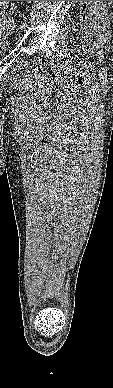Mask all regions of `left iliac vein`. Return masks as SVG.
<instances>
[{"label": "left iliac vein", "instance_id": "obj_1", "mask_svg": "<svg viewBox=\"0 0 113 388\" xmlns=\"http://www.w3.org/2000/svg\"><path fill=\"white\" fill-rule=\"evenodd\" d=\"M28 22L25 20V21H23L22 22V24H21V29L23 30V31H26L27 30V28H28Z\"/></svg>", "mask_w": 113, "mask_h": 388}]
</instances>
